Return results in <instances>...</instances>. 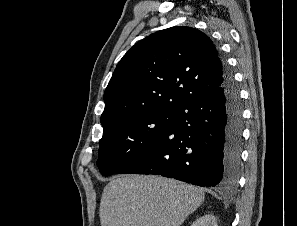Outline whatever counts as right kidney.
Returning <instances> with one entry per match:
<instances>
[{"instance_id":"right-kidney-1","label":"right kidney","mask_w":297,"mask_h":226,"mask_svg":"<svg viewBox=\"0 0 297 226\" xmlns=\"http://www.w3.org/2000/svg\"><path fill=\"white\" fill-rule=\"evenodd\" d=\"M191 226H218L217 220L213 215L206 214L194 221Z\"/></svg>"}]
</instances>
